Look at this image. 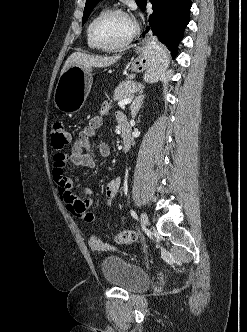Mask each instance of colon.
<instances>
[{
	"label": "colon",
	"mask_w": 247,
	"mask_h": 332,
	"mask_svg": "<svg viewBox=\"0 0 247 332\" xmlns=\"http://www.w3.org/2000/svg\"><path fill=\"white\" fill-rule=\"evenodd\" d=\"M50 134L52 147L56 150L65 148L71 141L70 133L61 121L52 124ZM137 238L138 235L133 230L121 231L114 236L115 241L120 244L133 243Z\"/></svg>",
	"instance_id": "obj_1"
}]
</instances>
